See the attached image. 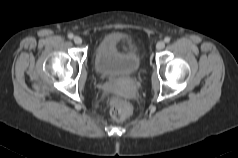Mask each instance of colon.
<instances>
[{
    "instance_id": "5ec220e1",
    "label": "colon",
    "mask_w": 238,
    "mask_h": 158,
    "mask_svg": "<svg viewBox=\"0 0 238 158\" xmlns=\"http://www.w3.org/2000/svg\"><path fill=\"white\" fill-rule=\"evenodd\" d=\"M110 104H111V116L114 120L117 121L124 120L131 113V106L125 100H122L117 97H112L110 100Z\"/></svg>"
}]
</instances>
